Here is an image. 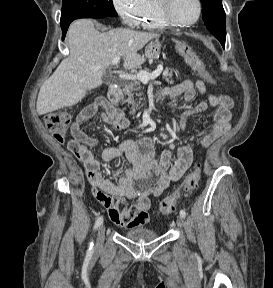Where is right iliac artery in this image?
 I'll return each mask as SVG.
<instances>
[{
    "mask_svg": "<svg viewBox=\"0 0 273 288\" xmlns=\"http://www.w3.org/2000/svg\"><path fill=\"white\" fill-rule=\"evenodd\" d=\"M102 223H103V217L100 216L95 222L94 230H96ZM92 253H93V242L90 243V246L87 250L88 255H91Z\"/></svg>",
    "mask_w": 273,
    "mask_h": 288,
    "instance_id": "82829eb1",
    "label": "right iliac artery"
}]
</instances>
